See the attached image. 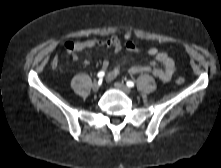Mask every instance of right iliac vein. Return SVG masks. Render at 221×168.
<instances>
[{
	"mask_svg": "<svg viewBox=\"0 0 221 168\" xmlns=\"http://www.w3.org/2000/svg\"><path fill=\"white\" fill-rule=\"evenodd\" d=\"M99 88H100L99 83L95 81V82L92 84V89H93V91L96 92V91L99 90Z\"/></svg>",
	"mask_w": 221,
	"mask_h": 168,
	"instance_id": "1",
	"label": "right iliac vein"
}]
</instances>
